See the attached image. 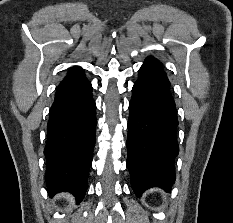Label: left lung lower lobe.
Masks as SVG:
<instances>
[{
    "instance_id": "left-lung-lower-lobe-1",
    "label": "left lung lower lobe",
    "mask_w": 233,
    "mask_h": 223,
    "mask_svg": "<svg viewBox=\"0 0 233 223\" xmlns=\"http://www.w3.org/2000/svg\"><path fill=\"white\" fill-rule=\"evenodd\" d=\"M160 62L148 57L139 70L129 104L127 167L137 197L152 186L170 191L175 181V102Z\"/></svg>"
}]
</instances>
